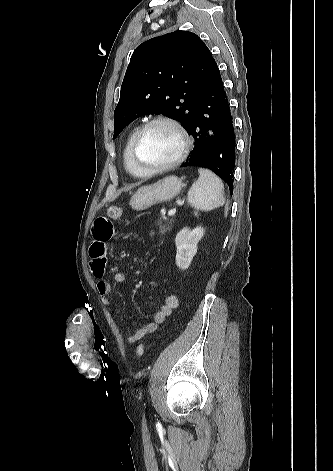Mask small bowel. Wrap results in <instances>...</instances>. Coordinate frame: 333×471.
<instances>
[{"instance_id":"obj_1","label":"small bowel","mask_w":333,"mask_h":471,"mask_svg":"<svg viewBox=\"0 0 333 471\" xmlns=\"http://www.w3.org/2000/svg\"><path fill=\"white\" fill-rule=\"evenodd\" d=\"M114 226L108 216L97 217L92 224V237L93 241L89 248L90 269L93 275L98 279L97 289L100 294L102 303L106 306L112 304L111 284L104 279L107 259L106 247L107 242L113 237ZM113 281L115 283H123L125 275L122 272H115L113 274ZM179 305V300L176 295L168 293L164 297V303L161 308L155 313L152 322L138 328L133 334L127 336L129 343H135L141 340L145 335L153 333L157 330L158 326L162 324L168 317H170Z\"/></svg>"}]
</instances>
